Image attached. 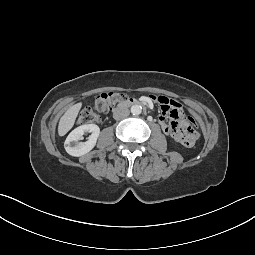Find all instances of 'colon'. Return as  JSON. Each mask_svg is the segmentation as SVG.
Masks as SVG:
<instances>
[{"label": "colon", "mask_w": 255, "mask_h": 255, "mask_svg": "<svg viewBox=\"0 0 255 255\" xmlns=\"http://www.w3.org/2000/svg\"><path fill=\"white\" fill-rule=\"evenodd\" d=\"M125 98L124 94L120 92H104L99 94L94 103L91 106L85 107L79 115V124H90L96 123L99 120L98 113L107 112L114 104L123 101ZM166 97L158 96L154 97L155 101L161 105L162 100ZM187 120L192 123L194 128H197L194 120L191 117H187ZM187 146V145H185Z\"/></svg>", "instance_id": "obj_1"}]
</instances>
